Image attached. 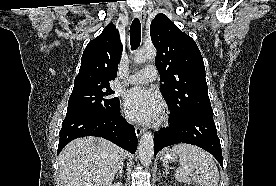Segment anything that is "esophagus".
Wrapping results in <instances>:
<instances>
[{"label": "esophagus", "instance_id": "esophagus-1", "mask_svg": "<svg viewBox=\"0 0 276 186\" xmlns=\"http://www.w3.org/2000/svg\"><path fill=\"white\" fill-rule=\"evenodd\" d=\"M137 17L139 18L140 22H141L142 24H144L145 18H146L145 11H139V12L137 13ZM135 132H136V135H137L138 137H140L141 134L143 133V129L140 128L139 126H136V127H135Z\"/></svg>", "mask_w": 276, "mask_h": 186}]
</instances>
